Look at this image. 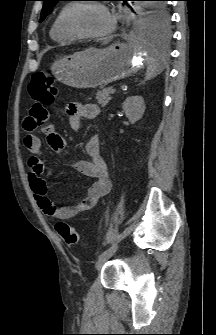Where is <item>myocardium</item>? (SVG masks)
I'll use <instances>...</instances> for the list:
<instances>
[{"label":"myocardium","instance_id":"f54148a6","mask_svg":"<svg viewBox=\"0 0 216 335\" xmlns=\"http://www.w3.org/2000/svg\"><path fill=\"white\" fill-rule=\"evenodd\" d=\"M85 5H95L100 7L110 18V26L107 30L99 33H85L78 31L72 25V15L76 9ZM61 27L65 34L74 39H98L109 35L116 27L115 17L109 12L108 8L101 2L89 1V2H74L69 5L61 19Z\"/></svg>","mask_w":216,"mask_h":335}]
</instances>
